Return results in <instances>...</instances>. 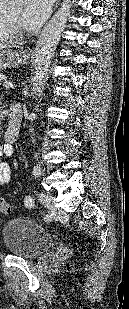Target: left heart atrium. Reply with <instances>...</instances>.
I'll return each instance as SVG.
<instances>
[{"label": "left heart atrium", "instance_id": "1", "mask_svg": "<svg viewBox=\"0 0 129 309\" xmlns=\"http://www.w3.org/2000/svg\"><path fill=\"white\" fill-rule=\"evenodd\" d=\"M22 11V25L26 30H36L50 12L51 0H25Z\"/></svg>", "mask_w": 129, "mask_h": 309}]
</instances>
